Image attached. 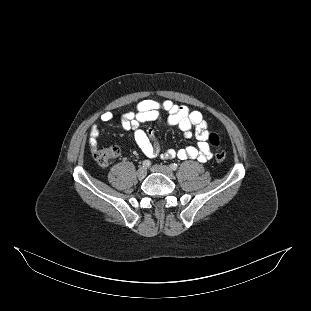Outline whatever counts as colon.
<instances>
[{"label": "colon", "instance_id": "colon-1", "mask_svg": "<svg viewBox=\"0 0 311 311\" xmlns=\"http://www.w3.org/2000/svg\"><path fill=\"white\" fill-rule=\"evenodd\" d=\"M209 143L215 148V159L221 162L226 159V152L220 149V137L217 133H210ZM118 148L115 146L98 147L93 150V157L100 166L109 165L118 155Z\"/></svg>", "mask_w": 311, "mask_h": 311}]
</instances>
